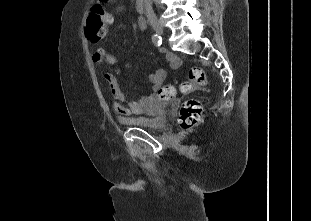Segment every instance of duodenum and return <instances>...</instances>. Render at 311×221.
Segmentation results:
<instances>
[{"label": "duodenum", "instance_id": "1", "mask_svg": "<svg viewBox=\"0 0 311 221\" xmlns=\"http://www.w3.org/2000/svg\"><path fill=\"white\" fill-rule=\"evenodd\" d=\"M145 3H146V0H135V7H136V10L138 11H143L144 10V7H145ZM138 26L141 28V29H144L145 28V23L143 21H140L138 23Z\"/></svg>", "mask_w": 311, "mask_h": 221}]
</instances>
